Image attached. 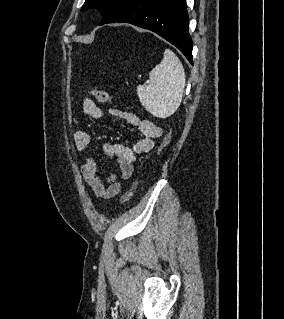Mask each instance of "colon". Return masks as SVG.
<instances>
[{"instance_id":"colon-1","label":"colon","mask_w":284,"mask_h":319,"mask_svg":"<svg viewBox=\"0 0 284 319\" xmlns=\"http://www.w3.org/2000/svg\"><path fill=\"white\" fill-rule=\"evenodd\" d=\"M90 93L100 103L109 104L112 101L110 95L104 89L93 88ZM168 141H169V134H166L163 138V141L160 145V148L165 147L167 145ZM135 189H136V183H133L129 187V189L122 195V197L120 199V204L127 203L132 198V196L135 192Z\"/></svg>"}]
</instances>
